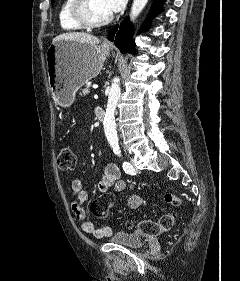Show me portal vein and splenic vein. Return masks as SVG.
I'll list each match as a JSON object with an SVG mask.
<instances>
[{"instance_id": "portal-vein-and-splenic-vein-1", "label": "portal vein and splenic vein", "mask_w": 240, "mask_h": 281, "mask_svg": "<svg viewBox=\"0 0 240 281\" xmlns=\"http://www.w3.org/2000/svg\"><path fill=\"white\" fill-rule=\"evenodd\" d=\"M93 88H97V86H93Z\"/></svg>"}]
</instances>
